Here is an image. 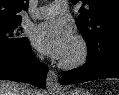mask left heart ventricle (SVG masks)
Instances as JSON below:
<instances>
[{
    "label": "left heart ventricle",
    "mask_w": 119,
    "mask_h": 95,
    "mask_svg": "<svg viewBox=\"0 0 119 95\" xmlns=\"http://www.w3.org/2000/svg\"><path fill=\"white\" fill-rule=\"evenodd\" d=\"M77 53V45L75 41L72 42L69 50L67 51L66 55L63 57V59H70L74 57Z\"/></svg>",
    "instance_id": "b2bd125f"
}]
</instances>
